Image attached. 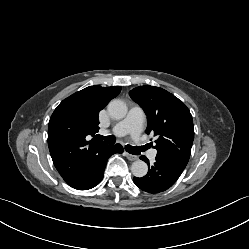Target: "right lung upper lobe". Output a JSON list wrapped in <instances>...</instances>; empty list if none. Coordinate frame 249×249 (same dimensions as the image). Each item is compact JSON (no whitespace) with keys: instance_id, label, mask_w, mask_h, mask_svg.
Instances as JSON below:
<instances>
[{"instance_id":"cb5924a9","label":"right lung upper lobe","mask_w":249,"mask_h":249,"mask_svg":"<svg viewBox=\"0 0 249 249\" xmlns=\"http://www.w3.org/2000/svg\"><path fill=\"white\" fill-rule=\"evenodd\" d=\"M120 91V86H90L63 100L53 112L48 125V146L66 183L73 181L104 145L94 137L99 129L98 115Z\"/></svg>"}]
</instances>
